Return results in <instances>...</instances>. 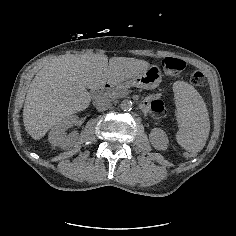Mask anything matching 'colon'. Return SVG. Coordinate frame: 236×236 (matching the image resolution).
I'll return each instance as SVG.
<instances>
[{
  "label": "colon",
  "mask_w": 236,
  "mask_h": 236,
  "mask_svg": "<svg viewBox=\"0 0 236 236\" xmlns=\"http://www.w3.org/2000/svg\"><path fill=\"white\" fill-rule=\"evenodd\" d=\"M163 68L168 74H177L186 68V62L182 58L168 56L162 60ZM190 83L196 87H202L206 83V77L200 70H195L190 75ZM152 113L157 117H164L167 113L165 103L162 98L154 97L150 103Z\"/></svg>",
  "instance_id": "5ec220e1"
}]
</instances>
